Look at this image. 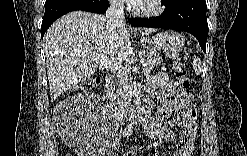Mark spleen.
I'll return each instance as SVG.
<instances>
[{"instance_id": "1", "label": "spleen", "mask_w": 247, "mask_h": 156, "mask_svg": "<svg viewBox=\"0 0 247 156\" xmlns=\"http://www.w3.org/2000/svg\"><path fill=\"white\" fill-rule=\"evenodd\" d=\"M193 69L197 75H199L201 73V61L199 58H194Z\"/></svg>"}]
</instances>
